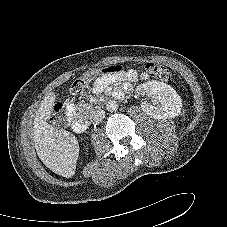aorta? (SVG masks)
I'll list each match as a JSON object with an SVG mask.
<instances>
[{"label":"aorta","mask_w":227,"mask_h":227,"mask_svg":"<svg viewBox=\"0 0 227 227\" xmlns=\"http://www.w3.org/2000/svg\"><path fill=\"white\" fill-rule=\"evenodd\" d=\"M106 109L109 112H115L118 110V103L115 100H109L106 104Z\"/></svg>","instance_id":"1"}]
</instances>
